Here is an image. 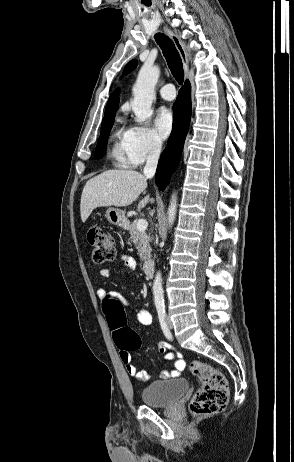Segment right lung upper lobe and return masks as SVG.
I'll return each mask as SVG.
<instances>
[{
  "label": "right lung upper lobe",
  "mask_w": 294,
  "mask_h": 462,
  "mask_svg": "<svg viewBox=\"0 0 294 462\" xmlns=\"http://www.w3.org/2000/svg\"><path fill=\"white\" fill-rule=\"evenodd\" d=\"M118 103H119V97H118V91L116 90L109 97L104 117L109 116V115H115V112L118 109Z\"/></svg>",
  "instance_id": "cb5924a9"
}]
</instances>
